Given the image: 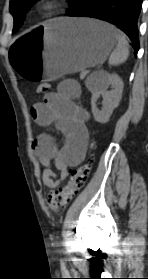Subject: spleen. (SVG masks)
<instances>
[{
	"mask_svg": "<svg viewBox=\"0 0 148 279\" xmlns=\"http://www.w3.org/2000/svg\"><path fill=\"white\" fill-rule=\"evenodd\" d=\"M117 39L118 44L116 49L110 55L109 65H119L121 63H124L129 56V44L125 35L122 33H118ZM99 74L100 73H94L87 79L86 86L88 88H91L94 80Z\"/></svg>",
	"mask_w": 148,
	"mask_h": 279,
	"instance_id": "obj_1",
	"label": "spleen"
}]
</instances>
